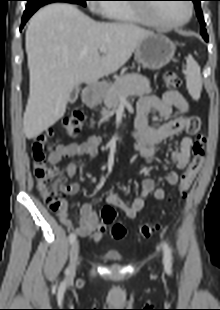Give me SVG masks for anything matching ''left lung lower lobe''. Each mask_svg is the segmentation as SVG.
<instances>
[{"mask_svg":"<svg viewBox=\"0 0 220 310\" xmlns=\"http://www.w3.org/2000/svg\"><path fill=\"white\" fill-rule=\"evenodd\" d=\"M204 39H205V41H208V37H205Z\"/></svg>","mask_w":220,"mask_h":310,"instance_id":"1","label":"left lung lower lobe"}]
</instances>
